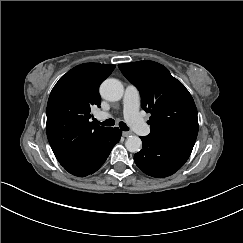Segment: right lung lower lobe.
<instances>
[{
    "label": "right lung lower lobe",
    "instance_id": "right-lung-lower-lobe-1",
    "mask_svg": "<svg viewBox=\"0 0 243 243\" xmlns=\"http://www.w3.org/2000/svg\"><path fill=\"white\" fill-rule=\"evenodd\" d=\"M121 134L118 128H109L84 155L64 166V169L78 177L93 174L105 162Z\"/></svg>",
    "mask_w": 243,
    "mask_h": 243
}]
</instances>
